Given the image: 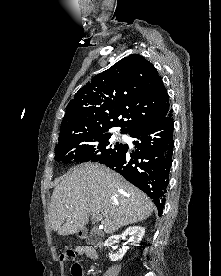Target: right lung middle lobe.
<instances>
[{"label": "right lung middle lobe", "mask_w": 221, "mask_h": 276, "mask_svg": "<svg viewBox=\"0 0 221 276\" xmlns=\"http://www.w3.org/2000/svg\"><path fill=\"white\" fill-rule=\"evenodd\" d=\"M110 133L97 132L85 137L59 142L55 147V160L64 163L94 161L104 163L124 152L128 145L110 143Z\"/></svg>", "instance_id": "dd1d6c3e"}]
</instances>
